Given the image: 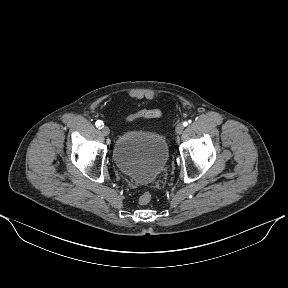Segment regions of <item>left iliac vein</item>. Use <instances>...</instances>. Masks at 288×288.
Here are the masks:
<instances>
[{"label":"left iliac vein","instance_id":"1","mask_svg":"<svg viewBox=\"0 0 288 288\" xmlns=\"http://www.w3.org/2000/svg\"><path fill=\"white\" fill-rule=\"evenodd\" d=\"M183 130H184V126L182 124H178L175 128V131L177 134H182Z\"/></svg>","mask_w":288,"mask_h":288}]
</instances>
